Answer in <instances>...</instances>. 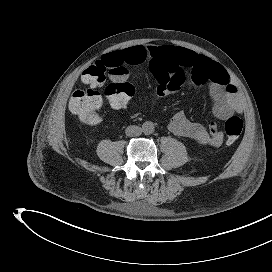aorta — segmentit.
Returning a JSON list of instances; mask_svg holds the SVG:
<instances>
[{"mask_svg":"<svg viewBox=\"0 0 272 272\" xmlns=\"http://www.w3.org/2000/svg\"><path fill=\"white\" fill-rule=\"evenodd\" d=\"M155 126L151 121H146L142 125V132L146 135H150L154 132Z\"/></svg>","mask_w":272,"mask_h":272,"instance_id":"obj_1","label":"aorta"}]
</instances>
